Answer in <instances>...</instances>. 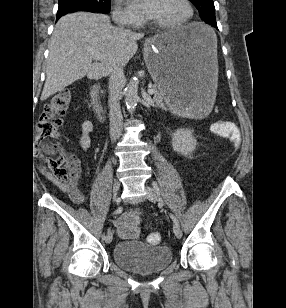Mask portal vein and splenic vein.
Segmentation results:
<instances>
[{
	"label": "portal vein and splenic vein",
	"instance_id": "1",
	"mask_svg": "<svg viewBox=\"0 0 286 308\" xmlns=\"http://www.w3.org/2000/svg\"><path fill=\"white\" fill-rule=\"evenodd\" d=\"M91 55H92L93 59L103 61V56L100 52H98L96 50H91ZM155 92H156V90L154 88L148 89V93L150 95L154 94Z\"/></svg>",
	"mask_w": 286,
	"mask_h": 308
}]
</instances>
